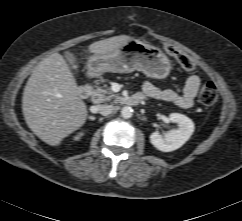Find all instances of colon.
Segmentation results:
<instances>
[{
	"label": "colon",
	"mask_w": 242,
	"mask_h": 221,
	"mask_svg": "<svg viewBox=\"0 0 242 221\" xmlns=\"http://www.w3.org/2000/svg\"><path fill=\"white\" fill-rule=\"evenodd\" d=\"M166 53L173 56L180 66L185 71H193L195 69V63L192 58L181 50L177 49L173 45L166 44L163 46ZM217 100V88L213 82L204 83L199 90V101L204 106H212Z\"/></svg>",
	"instance_id": "colon-1"
}]
</instances>
